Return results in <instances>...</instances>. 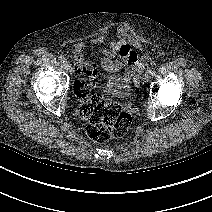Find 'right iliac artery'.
<instances>
[{"instance_id":"82829eb1","label":"right iliac artery","mask_w":212,"mask_h":212,"mask_svg":"<svg viewBox=\"0 0 212 212\" xmlns=\"http://www.w3.org/2000/svg\"><path fill=\"white\" fill-rule=\"evenodd\" d=\"M59 60H60L62 63H65V62H66V58H65L63 55H61V56L59 57Z\"/></svg>"}]
</instances>
